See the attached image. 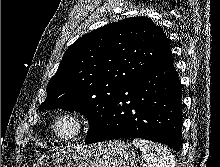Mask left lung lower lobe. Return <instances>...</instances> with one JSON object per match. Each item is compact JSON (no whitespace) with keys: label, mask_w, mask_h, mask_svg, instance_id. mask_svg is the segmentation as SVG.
<instances>
[{"label":"left lung lower lobe","mask_w":220,"mask_h":167,"mask_svg":"<svg viewBox=\"0 0 220 167\" xmlns=\"http://www.w3.org/2000/svg\"><path fill=\"white\" fill-rule=\"evenodd\" d=\"M181 126V87L171 54L119 90L101 129L85 144L142 138L179 151Z\"/></svg>","instance_id":"left-lung-lower-lobe-1"}]
</instances>
